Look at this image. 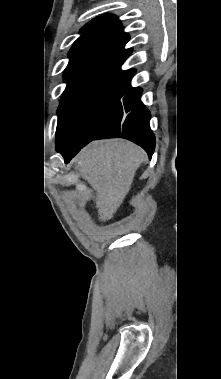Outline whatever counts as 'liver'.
<instances>
[{
	"label": "liver",
	"instance_id": "6515ba94",
	"mask_svg": "<svg viewBox=\"0 0 221 379\" xmlns=\"http://www.w3.org/2000/svg\"><path fill=\"white\" fill-rule=\"evenodd\" d=\"M145 159L137 145L119 139L94 141L73 159L84 180L96 191L99 220H110L126 197Z\"/></svg>",
	"mask_w": 221,
	"mask_h": 379
}]
</instances>
